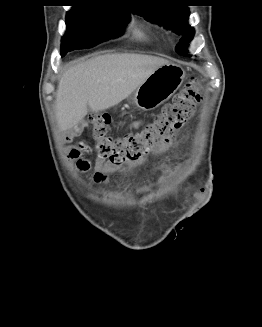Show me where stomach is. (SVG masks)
<instances>
[{
  "mask_svg": "<svg viewBox=\"0 0 262 327\" xmlns=\"http://www.w3.org/2000/svg\"><path fill=\"white\" fill-rule=\"evenodd\" d=\"M184 78L185 71L180 65H162L131 94L130 102L139 109L153 110L170 99Z\"/></svg>",
  "mask_w": 262,
  "mask_h": 327,
  "instance_id": "stomach-1",
  "label": "stomach"
}]
</instances>
